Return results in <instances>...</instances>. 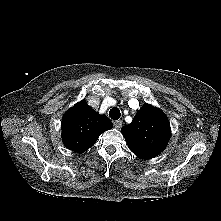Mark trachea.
Wrapping results in <instances>:
<instances>
[{
    "label": "trachea",
    "mask_w": 221,
    "mask_h": 221,
    "mask_svg": "<svg viewBox=\"0 0 221 221\" xmlns=\"http://www.w3.org/2000/svg\"><path fill=\"white\" fill-rule=\"evenodd\" d=\"M109 116L111 117V119L113 120H118L121 116L120 110L116 107L112 108L109 111Z\"/></svg>",
    "instance_id": "trachea-1"
}]
</instances>
